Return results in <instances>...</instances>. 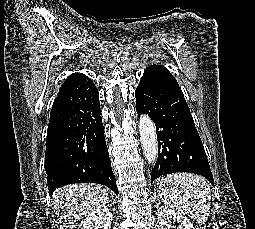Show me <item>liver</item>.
I'll return each mask as SVG.
<instances>
[{
  "label": "liver",
  "instance_id": "obj_1",
  "mask_svg": "<svg viewBox=\"0 0 255 229\" xmlns=\"http://www.w3.org/2000/svg\"><path fill=\"white\" fill-rule=\"evenodd\" d=\"M109 189L99 184L82 183L60 188L55 195V207L73 221L104 207L109 202ZM74 221V222H75Z\"/></svg>",
  "mask_w": 255,
  "mask_h": 229
}]
</instances>
